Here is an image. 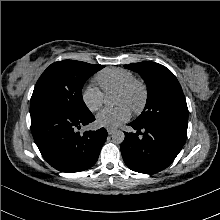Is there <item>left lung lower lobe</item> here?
I'll return each mask as SVG.
<instances>
[{
	"label": "left lung lower lobe",
	"mask_w": 220,
	"mask_h": 220,
	"mask_svg": "<svg viewBox=\"0 0 220 220\" xmlns=\"http://www.w3.org/2000/svg\"><path fill=\"white\" fill-rule=\"evenodd\" d=\"M128 125L137 132H125L121 153L128 168L139 173L154 174L167 168L186 140V134L166 125Z\"/></svg>",
	"instance_id": "1"
}]
</instances>
